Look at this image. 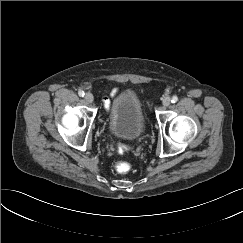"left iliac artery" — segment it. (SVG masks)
Instances as JSON below:
<instances>
[{
	"label": "left iliac artery",
	"instance_id": "44dca946",
	"mask_svg": "<svg viewBox=\"0 0 243 243\" xmlns=\"http://www.w3.org/2000/svg\"><path fill=\"white\" fill-rule=\"evenodd\" d=\"M177 101H178V97L177 96H173L171 102L172 103H176Z\"/></svg>",
	"mask_w": 243,
	"mask_h": 243
}]
</instances>
